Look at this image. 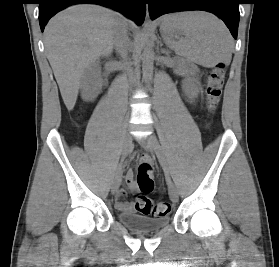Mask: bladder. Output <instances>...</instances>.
Masks as SVG:
<instances>
[{
    "label": "bladder",
    "mask_w": 279,
    "mask_h": 267,
    "mask_svg": "<svg viewBox=\"0 0 279 267\" xmlns=\"http://www.w3.org/2000/svg\"><path fill=\"white\" fill-rule=\"evenodd\" d=\"M118 219L127 228L138 232L158 231L169 222V217L167 215L149 217L133 211L119 213Z\"/></svg>",
    "instance_id": "31cf9c89"
}]
</instances>
